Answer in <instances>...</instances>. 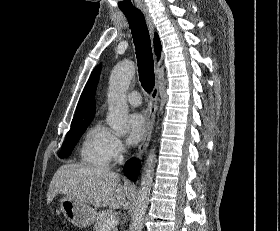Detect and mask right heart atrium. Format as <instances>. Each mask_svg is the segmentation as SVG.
Returning a JSON list of instances; mask_svg holds the SVG:
<instances>
[{
    "label": "right heart atrium",
    "instance_id": "d8ad5b80",
    "mask_svg": "<svg viewBox=\"0 0 280 231\" xmlns=\"http://www.w3.org/2000/svg\"><path fill=\"white\" fill-rule=\"evenodd\" d=\"M125 150L122 140L114 135H110L108 141V151L111 160H116L122 156Z\"/></svg>",
    "mask_w": 280,
    "mask_h": 231
}]
</instances>
